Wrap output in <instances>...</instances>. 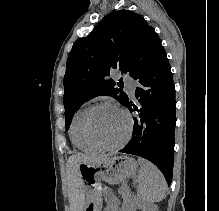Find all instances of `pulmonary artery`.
I'll return each instance as SVG.
<instances>
[{"label": "pulmonary artery", "instance_id": "e3ab8cb5", "mask_svg": "<svg viewBox=\"0 0 219 211\" xmlns=\"http://www.w3.org/2000/svg\"><path fill=\"white\" fill-rule=\"evenodd\" d=\"M127 89L131 95L134 94L135 86L131 82L126 83Z\"/></svg>", "mask_w": 219, "mask_h": 211}]
</instances>
